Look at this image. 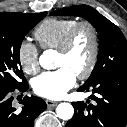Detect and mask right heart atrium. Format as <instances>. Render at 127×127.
<instances>
[{
    "mask_svg": "<svg viewBox=\"0 0 127 127\" xmlns=\"http://www.w3.org/2000/svg\"><path fill=\"white\" fill-rule=\"evenodd\" d=\"M17 57L26 74L34 75L39 71V52L32 42L21 41L18 46Z\"/></svg>",
    "mask_w": 127,
    "mask_h": 127,
    "instance_id": "d8ad5b80",
    "label": "right heart atrium"
}]
</instances>
